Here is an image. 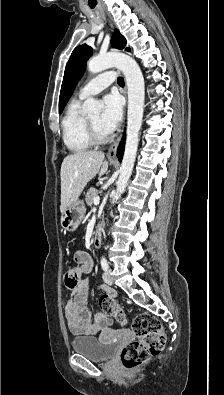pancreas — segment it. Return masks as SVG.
<instances>
[{
  "label": "pancreas",
  "instance_id": "cf45deb5",
  "mask_svg": "<svg viewBox=\"0 0 224 395\" xmlns=\"http://www.w3.org/2000/svg\"><path fill=\"white\" fill-rule=\"evenodd\" d=\"M98 196V190L96 189V188H90L88 191H87V194H86V198H85V201H86V204L88 205V206H92V204H93V199L95 198V197H97Z\"/></svg>",
  "mask_w": 224,
  "mask_h": 395
}]
</instances>
